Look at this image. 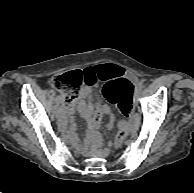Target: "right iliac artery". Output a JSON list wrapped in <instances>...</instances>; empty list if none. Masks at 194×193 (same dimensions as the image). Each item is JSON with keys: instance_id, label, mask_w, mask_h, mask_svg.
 Masks as SVG:
<instances>
[{"instance_id": "obj_1", "label": "right iliac artery", "mask_w": 194, "mask_h": 193, "mask_svg": "<svg viewBox=\"0 0 194 193\" xmlns=\"http://www.w3.org/2000/svg\"><path fill=\"white\" fill-rule=\"evenodd\" d=\"M59 91H60V90H59ZM60 93L62 94L61 91H60ZM58 100L61 101V100H62V96H59V97H58ZM59 113H62V109H61V108L59 109Z\"/></svg>"}]
</instances>
